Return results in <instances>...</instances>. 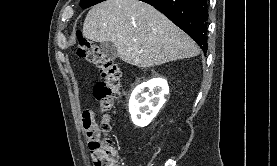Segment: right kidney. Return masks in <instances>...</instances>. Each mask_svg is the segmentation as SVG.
I'll list each match as a JSON object with an SVG mask.
<instances>
[{"instance_id":"1","label":"right kidney","mask_w":277,"mask_h":166,"mask_svg":"<svg viewBox=\"0 0 277 166\" xmlns=\"http://www.w3.org/2000/svg\"><path fill=\"white\" fill-rule=\"evenodd\" d=\"M169 93L167 81L162 78L151 79L138 85L129 100V112L136 126H147L165 103Z\"/></svg>"}]
</instances>
